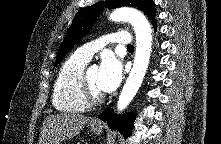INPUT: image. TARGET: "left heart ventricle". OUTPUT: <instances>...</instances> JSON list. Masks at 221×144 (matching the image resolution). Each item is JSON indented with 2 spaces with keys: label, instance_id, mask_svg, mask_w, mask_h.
<instances>
[{
  "label": "left heart ventricle",
  "instance_id": "obj_1",
  "mask_svg": "<svg viewBox=\"0 0 221 144\" xmlns=\"http://www.w3.org/2000/svg\"><path fill=\"white\" fill-rule=\"evenodd\" d=\"M87 77H88V80H89V83L91 85V87L97 91V92H100L98 86H97V78H98V70L97 69H88L87 71Z\"/></svg>",
  "mask_w": 221,
  "mask_h": 144
}]
</instances>
